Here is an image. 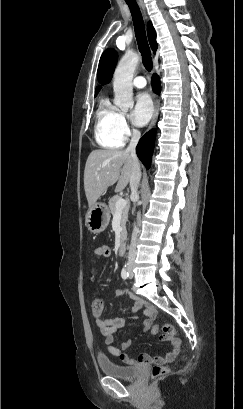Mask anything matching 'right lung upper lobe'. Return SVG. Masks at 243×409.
<instances>
[{"label":"right lung upper lobe","mask_w":243,"mask_h":409,"mask_svg":"<svg viewBox=\"0 0 243 409\" xmlns=\"http://www.w3.org/2000/svg\"><path fill=\"white\" fill-rule=\"evenodd\" d=\"M147 32H148L150 46L152 50L155 51L158 45L156 42V32L151 22H148ZM117 58L118 56L114 49H107L102 54L100 61H99L98 71H97V78H98L99 83L106 84L110 82L113 76V72L115 70ZM100 89H101V86L96 87L95 95L98 94Z\"/></svg>","instance_id":"obj_1"}]
</instances>
